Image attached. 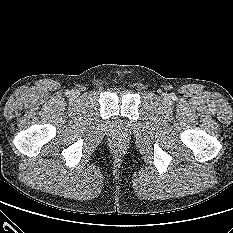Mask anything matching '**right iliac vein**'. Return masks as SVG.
I'll return each mask as SVG.
<instances>
[{"label":"right iliac vein","instance_id":"obj_1","mask_svg":"<svg viewBox=\"0 0 233 233\" xmlns=\"http://www.w3.org/2000/svg\"><path fill=\"white\" fill-rule=\"evenodd\" d=\"M72 94H73V96H75V97H76V96H78V95H79V92H78V91H73V93H72Z\"/></svg>","mask_w":233,"mask_h":233}]
</instances>
